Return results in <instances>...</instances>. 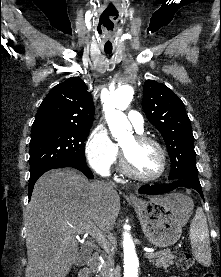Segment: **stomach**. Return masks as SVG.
<instances>
[{
	"label": "stomach",
	"instance_id": "obj_1",
	"mask_svg": "<svg viewBox=\"0 0 221 277\" xmlns=\"http://www.w3.org/2000/svg\"><path fill=\"white\" fill-rule=\"evenodd\" d=\"M163 197L131 200L144 235L152 245L160 248L179 240L193 207L188 198L182 197L177 204H170Z\"/></svg>",
	"mask_w": 221,
	"mask_h": 277
}]
</instances>
